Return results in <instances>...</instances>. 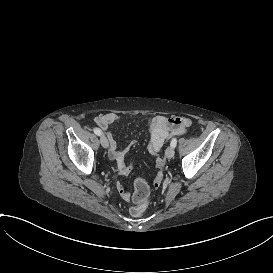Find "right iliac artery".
<instances>
[{"label": "right iliac artery", "mask_w": 273, "mask_h": 273, "mask_svg": "<svg viewBox=\"0 0 273 273\" xmlns=\"http://www.w3.org/2000/svg\"><path fill=\"white\" fill-rule=\"evenodd\" d=\"M94 133L98 136L102 135V131L99 128H94Z\"/></svg>", "instance_id": "obj_1"}]
</instances>
